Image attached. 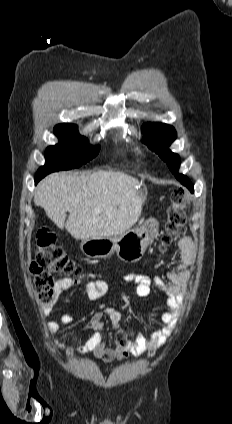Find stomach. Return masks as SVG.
<instances>
[{
    "label": "stomach",
    "mask_w": 232,
    "mask_h": 424,
    "mask_svg": "<svg viewBox=\"0 0 232 424\" xmlns=\"http://www.w3.org/2000/svg\"><path fill=\"white\" fill-rule=\"evenodd\" d=\"M157 235L158 223L146 222L138 229H129L118 236L85 239L81 242V250L93 259L108 258L116 252L121 260L136 262Z\"/></svg>",
    "instance_id": "stomach-1"
}]
</instances>
